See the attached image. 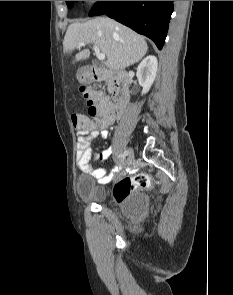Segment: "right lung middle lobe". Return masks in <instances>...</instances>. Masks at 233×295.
<instances>
[{"label":"right lung middle lobe","mask_w":233,"mask_h":295,"mask_svg":"<svg viewBox=\"0 0 233 295\" xmlns=\"http://www.w3.org/2000/svg\"><path fill=\"white\" fill-rule=\"evenodd\" d=\"M66 4L69 8L73 6V1H66Z\"/></svg>","instance_id":"right-lung-middle-lobe-1"}]
</instances>
